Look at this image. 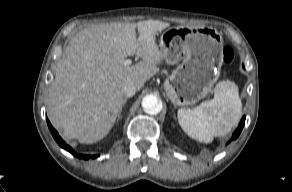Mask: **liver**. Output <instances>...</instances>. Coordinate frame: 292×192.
Here are the masks:
<instances>
[{"mask_svg":"<svg viewBox=\"0 0 292 192\" xmlns=\"http://www.w3.org/2000/svg\"><path fill=\"white\" fill-rule=\"evenodd\" d=\"M170 24L158 20L92 25L79 31L58 62L48 99L51 123L65 137L95 143L112 129L123 107V86L138 90L165 59L155 36ZM136 29L138 38L136 37ZM142 58L125 65V58Z\"/></svg>","mask_w":292,"mask_h":192,"instance_id":"obj_1","label":"liver"}]
</instances>
